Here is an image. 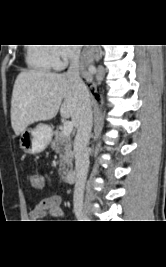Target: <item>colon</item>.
I'll return each mask as SVG.
<instances>
[{
  "label": "colon",
  "mask_w": 166,
  "mask_h": 267,
  "mask_svg": "<svg viewBox=\"0 0 166 267\" xmlns=\"http://www.w3.org/2000/svg\"><path fill=\"white\" fill-rule=\"evenodd\" d=\"M24 178L28 180V185H33V188H46L43 177H39L35 171H28Z\"/></svg>",
  "instance_id": "1"
}]
</instances>
